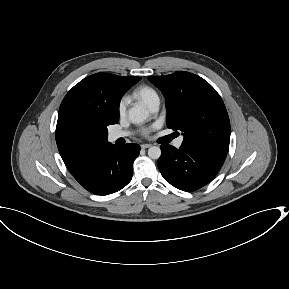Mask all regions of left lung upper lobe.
<instances>
[{
  "mask_svg": "<svg viewBox=\"0 0 289 289\" xmlns=\"http://www.w3.org/2000/svg\"><path fill=\"white\" fill-rule=\"evenodd\" d=\"M148 79L162 91L167 126L181 130L183 142L228 153L229 117L221 97L207 81L185 71Z\"/></svg>",
  "mask_w": 289,
  "mask_h": 289,
  "instance_id": "left-lung-upper-lobe-1",
  "label": "left lung upper lobe"
}]
</instances>
